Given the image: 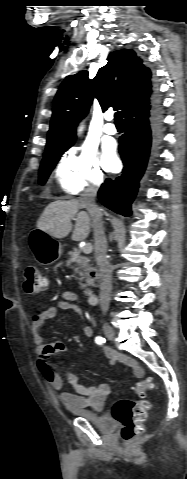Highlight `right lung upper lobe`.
I'll return each mask as SVG.
<instances>
[{
    "mask_svg": "<svg viewBox=\"0 0 187 479\" xmlns=\"http://www.w3.org/2000/svg\"><path fill=\"white\" fill-rule=\"evenodd\" d=\"M107 60L93 80L83 71L63 81L54 99L46 151L73 145L76 126L88 113L94 97L103 111L113 106L125 117L133 109L147 106L157 94L151 70L135 51H114Z\"/></svg>",
    "mask_w": 187,
    "mask_h": 479,
    "instance_id": "cb5924a9",
    "label": "right lung upper lobe"
}]
</instances>
